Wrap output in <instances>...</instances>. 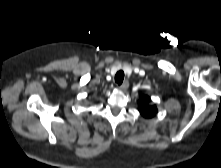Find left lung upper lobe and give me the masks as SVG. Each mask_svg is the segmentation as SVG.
Segmentation results:
<instances>
[{"mask_svg":"<svg viewBox=\"0 0 221 168\" xmlns=\"http://www.w3.org/2000/svg\"><path fill=\"white\" fill-rule=\"evenodd\" d=\"M151 100L148 96H142L138 102L139 111L145 118H152L157 113V107L150 104Z\"/></svg>","mask_w":221,"mask_h":168,"instance_id":"left-lung-upper-lobe-1","label":"left lung upper lobe"}]
</instances>
